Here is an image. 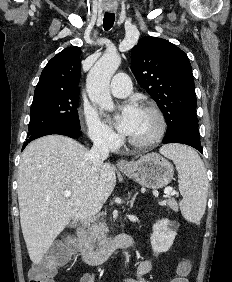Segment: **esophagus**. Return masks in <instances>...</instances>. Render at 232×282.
I'll return each instance as SVG.
<instances>
[{
	"mask_svg": "<svg viewBox=\"0 0 232 282\" xmlns=\"http://www.w3.org/2000/svg\"><path fill=\"white\" fill-rule=\"evenodd\" d=\"M117 166L121 169H125V168H129L130 164L124 159H119L117 161Z\"/></svg>",
	"mask_w": 232,
	"mask_h": 282,
	"instance_id": "34e87169",
	"label": "esophagus"
}]
</instances>
